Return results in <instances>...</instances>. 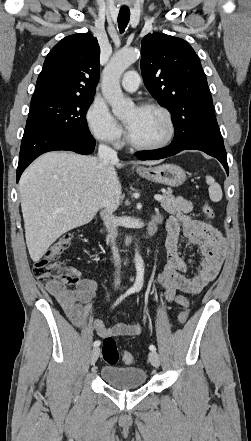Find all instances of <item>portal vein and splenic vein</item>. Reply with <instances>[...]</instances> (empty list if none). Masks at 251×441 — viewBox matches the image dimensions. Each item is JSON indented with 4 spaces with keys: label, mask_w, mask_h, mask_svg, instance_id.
<instances>
[{
    "label": "portal vein and splenic vein",
    "mask_w": 251,
    "mask_h": 441,
    "mask_svg": "<svg viewBox=\"0 0 251 441\" xmlns=\"http://www.w3.org/2000/svg\"><path fill=\"white\" fill-rule=\"evenodd\" d=\"M154 199H155L156 201L161 202V201L164 199V197H163L162 195H155V196H154Z\"/></svg>",
    "instance_id": "1"
}]
</instances>
